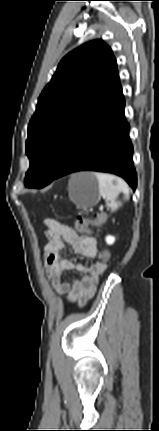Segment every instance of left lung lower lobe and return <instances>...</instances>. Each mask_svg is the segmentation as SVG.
I'll return each instance as SVG.
<instances>
[{
  "label": "left lung lower lobe",
  "mask_w": 159,
  "mask_h": 431,
  "mask_svg": "<svg viewBox=\"0 0 159 431\" xmlns=\"http://www.w3.org/2000/svg\"><path fill=\"white\" fill-rule=\"evenodd\" d=\"M124 107L121 89L116 97L76 134L62 168L54 179L78 171L107 172L121 176L133 190L136 189L133 146Z\"/></svg>",
  "instance_id": "left-lung-lower-lobe-1"
}]
</instances>
